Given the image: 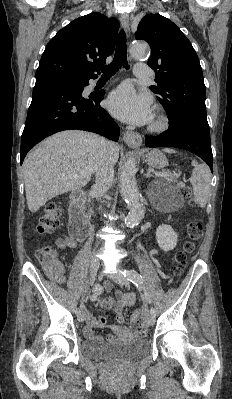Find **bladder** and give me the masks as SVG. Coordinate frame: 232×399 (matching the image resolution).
<instances>
[{
  "label": "bladder",
  "instance_id": "1",
  "mask_svg": "<svg viewBox=\"0 0 232 399\" xmlns=\"http://www.w3.org/2000/svg\"><path fill=\"white\" fill-rule=\"evenodd\" d=\"M149 351L145 339L127 342H105L95 339L85 340L80 344V354L91 360L128 361L140 358Z\"/></svg>",
  "mask_w": 232,
  "mask_h": 399
}]
</instances>
